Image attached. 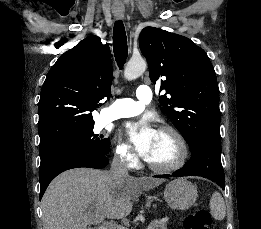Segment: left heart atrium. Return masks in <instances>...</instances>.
Returning <instances> with one entry per match:
<instances>
[{"label":"left heart atrium","instance_id":"39dd6f15","mask_svg":"<svg viewBox=\"0 0 261 229\" xmlns=\"http://www.w3.org/2000/svg\"><path fill=\"white\" fill-rule=\"evenodd\" d=\"M126 134L139 155L147 159L157 131L146 124H129L126 127Z\"/></svg>","mask_w":261,"mask_h":229}]
</instances>
